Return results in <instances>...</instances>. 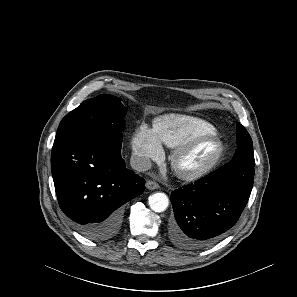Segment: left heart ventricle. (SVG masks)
Instances as JSON below:
<instances>
[{"mask_svg":"<svg viewBox=\"0 0 297 297\" xmlns=\"http://www.w3.org/2000/svg\"><path fill=\"white\" fill-rule=\"evenodd\" d=\"M214 148L215 144L210 140L201 142L183 159V166L187 168H194L203 164L212 155Z\"/></svg>","mask_w":297,"mask_h":297,"instance_id":"b2bd125f","label":"left heart ventricle"}]
</instances>
